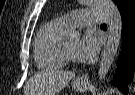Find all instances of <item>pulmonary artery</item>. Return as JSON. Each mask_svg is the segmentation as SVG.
Masks as SVG:
<instances>
[{"label": "pulmonary artery", "mask_w": 135, "mask_h": 95, "mask_svg": "<svg viewBox=\"0 0 135 95\" xmlns=\"http://www.w3.org/2000/svg\"><path fill=\"white\" fill-rule=\"evenodd\" d=\"M68 27L83 26L86 24H101L107 20V15L102 10H75L61 17Z\"/></svg>", "instance_id": "1"}]
</instances>
